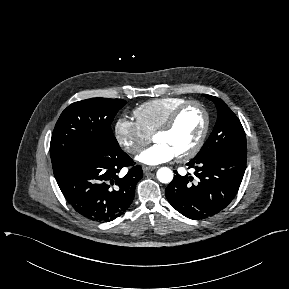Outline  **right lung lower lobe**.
<instances>
[{"mask_svg": "<svg viewBox=\"0 0 289 289\" xmlns=\"http://www.w3.org/2000/svg\"><path fill=\"white\" fill-rule=\"evenodd\" d=\"M132 166L119 178L117 173ZM143 175L140 166L122 150L112 154L87 151L67 164L56 181L69 204L82 216L100 222L119 217L132 203L135 185Z\"/></svg>", "mask_w": 289, "mask_h": 289, "instance_id": "1", "label": "right lung lower lobe"}]
</instances>
